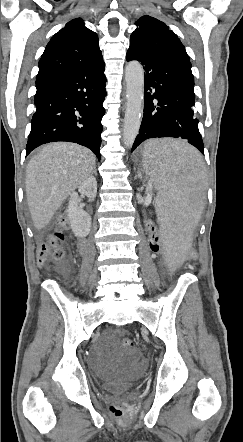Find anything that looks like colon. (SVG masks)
I'll return each mask as SVG.
<instances>
[{
    "label": "colon",
    "instance_id": "5ec220e1",
    "mask_svg": "<svg viewBox=\"0 0 243 442\" xmlns=\"http://www.w3.org/2000/svg\"><path fill=\"white\" fill-rule=\"evenodd\" d=\"M148 226H146V239L148 240L147 252L150 254L159 253L161 251V247L163 246L162 238V230L159 229L158 226H154L156 219L153 216L148 217L147 219ZM57 229L49 232L46 236L45 241L39 246L37 257L39 263L46 262L49 258L60 259L64 256L63 249V241L64 235L62 233V229L66 228L68 225V219L64 216H61L57 223ZM198 247L192 246L191 251L187 253V255H181L179 260L181 262H198ZM162 258H168L172 256V253L168 251H162L160 253ZM121 345L125 348H130L133 346V343L130 338L124 336L121 338ZM142 352V350H140ZM111 413L120 419L126 418L128 415L127 405L123 402H115L110 407Z\"/></svg>",
    "mask_w": 243,
    "mask_h": 442
}]
</instances>
